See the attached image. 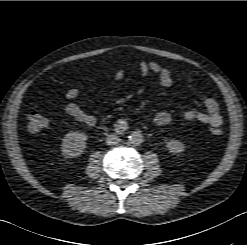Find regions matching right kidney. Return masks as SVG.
Returning <instances> with one entry per match:
<instances>
[{
    "mask_svg": "<svg viewBox=\"0 0 247 245\" xmlns=\"http://www.w3.org/2000/svg\"><path fill=\"white\" fill-rule=\"evenodd\" d=\"M87 139V135L81 131L67 133L62 139V154L65 157H76L81 155L86 148Z\"/></svg>",
    "mask_w": 247,
    "mask_h": 245,
    "instance_id": "right-kidney-1",
    "label": "right kidney"
}]
</instances>
